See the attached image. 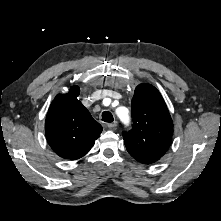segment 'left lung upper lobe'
Listing matches in <instances>:
<instances>
[{
  "label": "left lung upper lobe",
  "mask_w": 221,
  "mask_h": 221,
  "mask_svg": "<svg viewBox=\"0 0 221 221\" xmlns=\"http://www.w3.org/2000/svg\"><path fill=\"white\" fill-rule=\"evenodd\" d=\"M133 128L123 132L128 153L138 162L159 160L171 145L173 122L164 99L150 84L136 87L132 99Z\"/></svg>",
  "instance_id": "1"
}]
</instances>
